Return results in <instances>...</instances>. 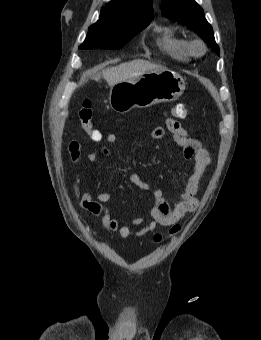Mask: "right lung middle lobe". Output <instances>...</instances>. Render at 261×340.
Returning a JSON list of instances; mask_svg holds the SVG:
<instances>
[{"label":"right lung middle lobe","instance_id":"obj_1","mask_svg":"<svg viewBox=\"0 0 261 340\" xmlns=\"http://www.w3.org/2000/svg\"><path fill=\"white\" fill-rule=\"evenodd\" d=\"M151 21L100 20L91 25L80 49H119L135 34L149 25Z\"/></svg>","mask_w":261,"mask_h":340}]
</instances>
